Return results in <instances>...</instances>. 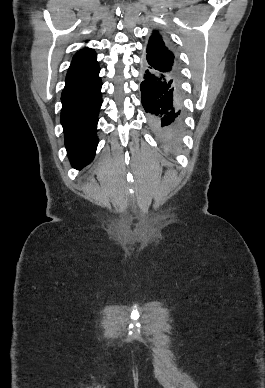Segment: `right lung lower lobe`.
Returning <instances> with one entry per match:
<instances>
[{"label":"right lung lower lobe","instance_id":"98d812e1","mask_svg":"<svg viewBox=\"0 0 265 388\" xmlns=\"http://www.w3.org/2000/svg\"><path fill=\"white\" fill-rule=\"evenodd\" d=\"M98 74L82 81L66 83L61 95L60 120L65 146L70 162L76 169L92 161L98 144L96 128L102 104V81Z\"/></svg>","mask_w":265,"mask_h":388}]
</instances>
